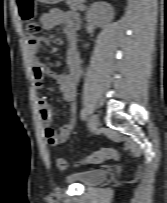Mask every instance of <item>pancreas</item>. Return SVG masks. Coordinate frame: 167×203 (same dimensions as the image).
Listing matches in <instances>:
<instances>
[{
  "mask_svg": "<svg viewBox=\"0 0 167 203\" xmlns=\"http://www.w3.org/2000/svg\"><path fill=\"white\" fill-rule=\"evenodd\" d=\"M83 2L84 0H67V5L73 11H83L85 9Z\"/></svg>",
  "mask_w": 167,
  "mask_h": 203,
  "instance_id": "1",
  "label": "pancreas"
}]
</instances>
